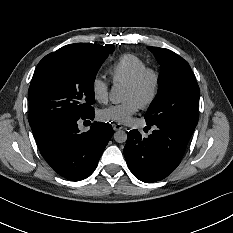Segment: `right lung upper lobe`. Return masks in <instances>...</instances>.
I'll use <instances>...</instances> for the list:
<instances>
[{
    "mask_svg": "<svg viewBox=\"0 0 233 233\" xmlns=\"http://www.w3.org/2000/svg\"><path fill=\"white\" fill-rule=\"evenodd\" d=\"M64 47H73L83 52H86L88 54L97 55V56H100V55L108 56L115 49L112 44L103 46V45L90 44V43L69 44Z\"/></svg>",
    "mask_w": 233,
    "mask_h": 233,
    "instance_id": "right-lung-upper-lobe-1",
    "label": "right lung upper lobe"
}]
</instances>
